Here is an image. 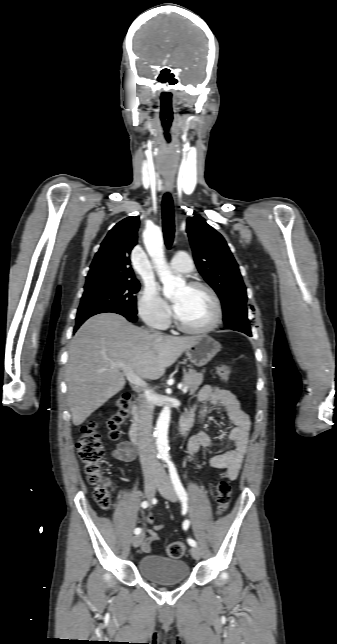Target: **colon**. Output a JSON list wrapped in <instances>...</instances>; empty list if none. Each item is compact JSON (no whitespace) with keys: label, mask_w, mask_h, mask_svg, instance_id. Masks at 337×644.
Returning <instances> with one entry per match:
<instances>
[{"label":"colon","mask_w":337,"mask_h":644,"mask_svg":"<svg viewBox=\"0 0 337 644\" xmlns=\"http://www.w3.org/2000/svg\"><path fill=\"white\" fill-rule=\"evenodd\" d=\"M218 376L223 380H229L231 375V366L222 362L216 368ZM131 401L128 394H123L115 402V411L106 422L108 437L111 440H117L120 436V426L126 415L130 411ZM77 452L84 466L87 481L94 487V500L103 510L111 506V496L109 490V480L102 471V458L104 455V446L100 439L95 421H89L81 429V435L78 438ZM231 484L227 474L220 475L216 483V503L217 514L222 515L230 504ZM167 555L173 559L181 558L185 553V546L182 542H172L167 546Z\"/></svg>","instance_id":"1"}]
</instances>
